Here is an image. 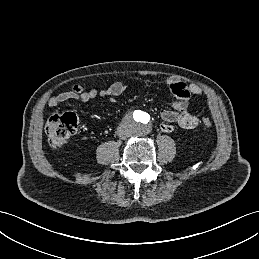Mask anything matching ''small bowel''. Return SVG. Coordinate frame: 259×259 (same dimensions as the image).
I'll use <instances>...</instances> for the list:
<instances>
[{
	"label": "small bowel",
	"instance_id": "c3829d8e",
	"mask_svg": "<svg viewBox=\"0 0 259 259\" xmlns=\"http://www.w3.org/2000/svg\"><path fill=\"white\" fill-rule=\"evenodd\" d=\"M167 85L176 99L171 103L172 109H163L160 112L161 130L165 133H171L174 131V124L183 129L195 128L199 123V119L188 111V103L191 95L202 94L201 88L195 84H186L178 79H168ZM125 89L126 86L121 81H116L102 90L93 88L85 91L82 86L73 85L70 90L51 97L49 105L57 107L68 101L87 103L97 97L113 99L123 94Z\"/></svg>",
	"mask_w": 259,
	"mask_h": 259
}]
</instances>
